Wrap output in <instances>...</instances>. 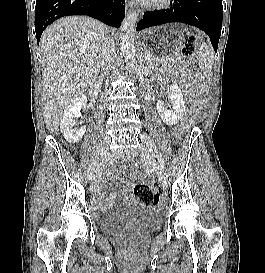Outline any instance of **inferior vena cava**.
I'll return each instance as SVG.
<instances>
[{"instance_id":"inferior-vena-cava-1","label":"inferior vena cava","mask_w":265,"mask_h":273,"mask_svg":"<svg viewBox=\"0 0 265 273\" xmlns=\"http://www.w3.org/2000/svg\"><path fill=\"white\" fill-rule=\"evenodd\" d=\"M116 55L114 41L107 36L101 49V70L103 75H106L111 70Z\"/></svg>"}]
</instances>
